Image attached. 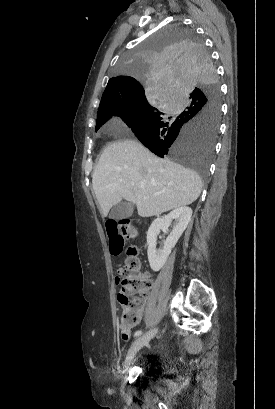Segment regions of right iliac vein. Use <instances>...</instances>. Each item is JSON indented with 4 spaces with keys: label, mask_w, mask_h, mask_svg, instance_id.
<instances>
[{
    "label": "right iliac vein",
    "mask_w": 275,
    "mask_h": 409,
    "mask_svg": "<svg viewBox=\"0 0 275 409\" xmlns=\"http://www.w3.org/2000/svg\"><path fill=\"white\" fill-rule=\"evenodd\" d=\"M157 334V329H152L150 331H148L147 333H145L144 335H142L141 337L137 338L133 344L131 345L127 356L124 360V366H128L130 364V362L134 359L135 355L137 354V352L146 344L149 343V341Z\"/></svg>",
    "instance_id": "obj_1"
}]
</instances>
